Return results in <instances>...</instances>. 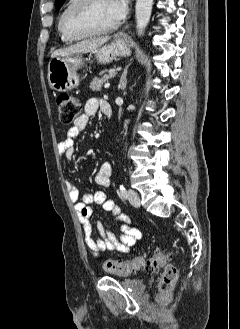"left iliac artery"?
<instances>
[{
    "label": "left iliac artery",
    "mask_w": 240,
    "mask_h": 329,
    "mask_svg": "<svg viewBox=\"0 0 240 329\" xmlns=\"http://www.w3.org/2000/svg\"><path fill=\"white\" fill-rule=\"evenodd\" d=\"M120 193L123 198H127V191L123 185H120Z\"/></svg>",
    "instance_id": "1"
}]
</instances>
